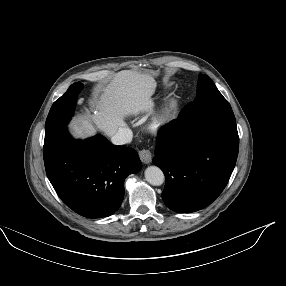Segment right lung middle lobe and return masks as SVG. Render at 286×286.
Returning a JSON list of instances; mask_svg holds the SVG:
<instances>
[{"label": "right lung middle lobe", "mask_w": 286, "mask_h": 286, "mask_svg": "<svg viewBox=\"0 0 286 286\" xmlns=\"http://www.w3.org/2000/svg\"><path fill=\"white\" fill-rule=\"evenodd\" d=\"M82 87L83 84L80 82L72 84L64 95L53 103L46 120L45 136L66 127L73 115L74 104Z\"/></svg>", "instance_id": "right-lung-middle-lobe-1"}]
</instances>
